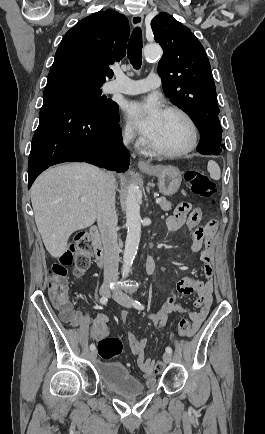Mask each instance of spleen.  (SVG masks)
I'll return each mask as SVG.
<instances>
[{
	"label": "spleen",
	"instance_id": "obj_1",
	"mask_svg": "<svg viewBox=\"0 0 265 434\" xmlns=\"http://www.w3.org/2000/svg\"><path fill=\"white\" fill-rule=\"evenodd\" d=\"M207 170H208L212 180H220L221 170H220L218 164H216V162H213V160H210V162H208Z\"/></svg>",
	"mask_w": 265,
	"mask_h": 434
}]
</instances>
